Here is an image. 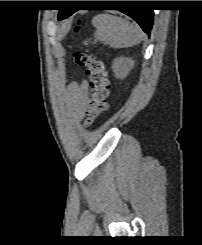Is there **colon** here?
Returning a JSON list of instances; mask_svg holds the SVG:
<instances>
[{
	"label": "colon",
	"instance_id": "colon-1",
	"mask_svg": "<svg viewBox=\"0 0 202 245\" xmlns=\"http://www.w3.org/2000/svg\"><path fill=\"white\" fill-rule=\"evenodd\" d=\"M74 61L84 70L88 79L84 120L91 123L100 118L108 109L110 81L107 68L104 61L98 59L93 53L77 52L74 55Z\"/></svg>",
	"mask_w": 202,
	"mask_h": 245
}]
</instances>
